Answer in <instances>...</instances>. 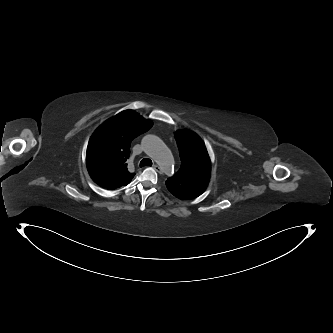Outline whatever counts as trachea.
<instances>
[{"instance_id": "obj_1", "label": "trachea", "mask_w": 333, "mask_h": 333, "mask_svg": "<svg viewBox=\"0 0 333 333\" xmlns=\"http://www.w3.org/2000/svg\"><path fill=\"white\" fill-rule=\"evenodd\" d=\"M152 161L148 158H144L141 160L140 162V167H144V166H152Z\"/></svg>"}]
</instances>
